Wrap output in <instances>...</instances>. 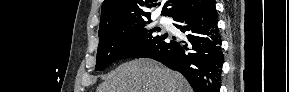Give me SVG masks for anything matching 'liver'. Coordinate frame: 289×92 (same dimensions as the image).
Here are the masks:
<instances>
[{
  "mask_svg": "<svg viewBox=\"0 0 289 92\" xmlns=\"http://www.w3.org/2000/svg\"><path fill=\"white\" fill-rule=\"evenodd\" d=\"M97 92H191L178 72L151 59H135L105 77Z\"/></svg>",
  "mask_w": 289,
  "mask_h": 92,
  "instance_id": "obj_1",
  "label": "liver"
}]
</instances>
